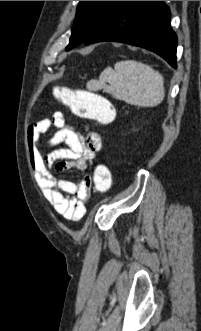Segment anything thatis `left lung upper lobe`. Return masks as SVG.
<instances>
[{
  "label": "left lung upper lobe",
  "mask_w": 201,
  "mask_h": 331,
  "mask_svg": "<svg viewBox=\"0 0 201 331\" xmlns=\"http://www.w3.org/2000/svg\"><path fill=\"white\" fill-rule=\"evenodd\" d=\"M119 2L80 1L77 7L70 42L66 48L71 49L84 42Z\"/></svg>",
  "instance_id": "5c2ea615"
}]
</instances>
